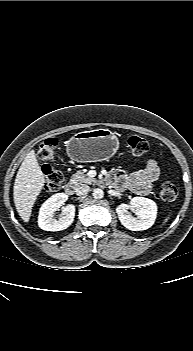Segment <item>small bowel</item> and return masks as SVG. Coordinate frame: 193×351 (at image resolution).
<instances>
[{"mask_svg":"<svg viewBox=\"0 0 193 351\" xmlns=\"http://www.w3.org/2000/svg\"><path fill=\"white\" fill-rule=\"evenodd\" d=\"M160 175V168L154 159H149L143 169L131 174H121L113 178V183L136 194H148Z\"/></svg>","mask_w":193,"mask_h":351,"instance_id":"1","label":"small bowel"}]
</instances>
